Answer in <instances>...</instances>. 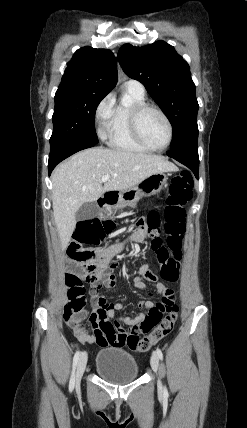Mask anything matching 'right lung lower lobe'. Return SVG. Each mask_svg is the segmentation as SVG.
Wrapping results in <instances>:
<instances>
[{
    "mask_svg": "<svg viewBox=\"0 0 247 428\" xmlns=\"http://www.w3.org/2000/svg\"><path fill=\"white\" fill-rule=\"evenodd\" d=\"M92 144H83V143H61L51 146V151L49 155V162H48V171L49 175L51 174L52 170L55 168V166L60 163L62 160L66 159L67 157L71 156L72 154L86 149L93 147Z\"/></svg>",
    "mask_w": 247,
    "mask_h": 428,
    "instance_id": "98d812e1",
    "label": "right lung lower lobe"
}]
</instances>
